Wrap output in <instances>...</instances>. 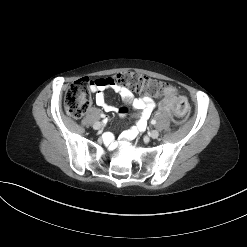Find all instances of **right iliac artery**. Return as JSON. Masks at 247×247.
Masks as SVG:
<instances>
[{
  "label": "right iliac artery",
  "mask_w": 247,
  "mask_h": 247,
  "mask_svg": "<svg viewBox=\"0 0 247 247\" xmlns=\"http://www.w3.org/2000/svg\"><path fill=\"white\" fill-rule=\"evenodd\" d=\"M101 117H103V118H104V117H105V115H104V114H102V115H101Z\"/></svg>",
  "instance_id": "right-iliac-artery-1"
}]
</instances>
